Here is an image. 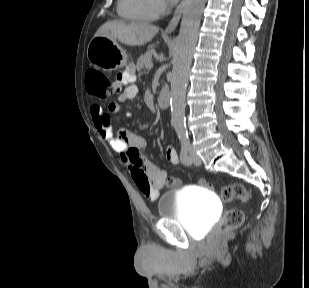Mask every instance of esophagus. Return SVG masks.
I'll return each mask as SVG.
<instances>
[{"instance_id": "esophagus-1", "label": "esophagus", "mask_w": 309, "mask_h": 288, "mask_svg": "<svg viewBox=\"0 0 309 288\" xmlns=\"http://www.w3.org/2000/svg\"><path fill=\"white\" fill-rule=\"evenodd\" d=\"M187 2L188 0H182L180 4L177 6L172 19L170 20L169 24L164 30L165 33L171 34L176 29L183 14V11L187 5Z\"/></svg>"}]
</instances>
